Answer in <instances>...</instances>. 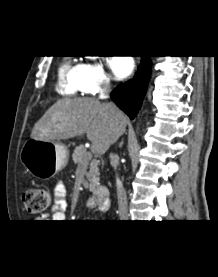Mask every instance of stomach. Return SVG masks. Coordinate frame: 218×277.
I'll return each mask as SVG.
<instances>
[{
    "label": "stomach",
    "instance_id": "stomach-1",
    "mask_svg": "<svg viewBox=\"0 0 218 277\" xmlns=\"http://www.w3.org/2000/svg\"><path fill=\"white\" fill-rule=\"evenodd\" d=\"M68 150L56 141H43L30 138L20 152V160L35 177L46 179L54 176L68 163Z\"/></svg>",
    "mask_w": 218,
    "mask_h": 277
}]
</instances>
